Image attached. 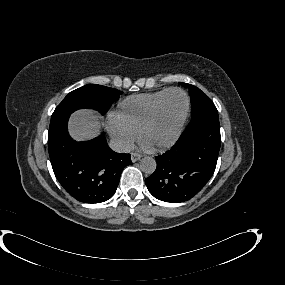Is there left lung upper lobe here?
<instances>
[{
    "label": "left lung upper lobe",
    "mask_w": 285,
    "mask_h": 285,
    "mask_svg": "<svg viewBox=\"0 0 285 285\" xmlns=\"http://www.w3.org/2000/svg\"><path fill=\"white\" fill-rule=\"evenodd\" d=\"M183 87L189 88L190 91V100H191V116L196 115L199 111L215 107L212 100L204 94L199 88L189 85L186 83H180Z\"/></svg>",
    "instance_id": "obj_1"
}]
</instances>
